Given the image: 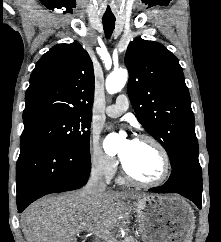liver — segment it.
Instances as JSON below:
<instances>
[{"label":"liver","mask_w":221,"mask_h":242,"mask_svg":"<svg viewBox=\"0 0 221 242\" xmlns=\"http://www.w3.org/2000/svg\"><path fill=\"white\" fill-rule=\"evenodd\" d=\"M145 194L103 191L88 195L84 189L60 196L42 198L31 204L21 216L27 242H77L81 231L112 229L118 219L129 223L130 209L121 202Z\"/></svg>","instance_id":"liver-1"}]
</instances>
